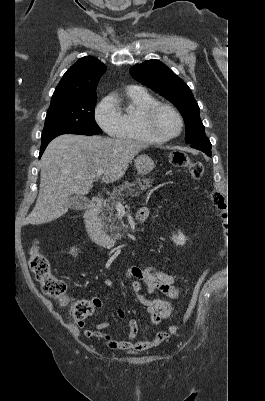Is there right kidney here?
<instances>
[{"instance_id":"ca27d5eb","label":"right kidney","mask_w":265,"mask_h":401,"mask_svg":"<svg viewBox=\"0 0 265 401\" xmlns=\"http://www.w3.org/2000/svg\"><path fill=\"white\" fill-rule=\"evenodd\" d=\"M76 251H77V249H76ZM76 251H75V249H72L71 255H72V253H76Z\"/></svg>"}]
</instances>
